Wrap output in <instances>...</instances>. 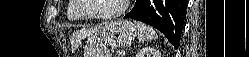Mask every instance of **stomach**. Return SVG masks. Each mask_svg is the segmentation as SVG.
<instances>
[{
	"label": "stomach",
	"instance_id": "0dacf381",
	"mask_svg": "<svg viewBox=\"0 0 249 57\" xmlns=\"http://www.w3.org/2000/svg\"><path fill=\"white\" fill-rule=\"evenodd\" d=\"M136 36L137 29L131 21L119 19L109 22L87 38L84 57H111L107 47H125Z\"/></svg>",
	"mask_w": 249,
	"mask_h": 57
}]
</instances>
